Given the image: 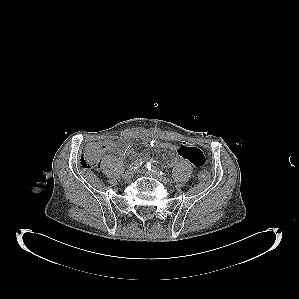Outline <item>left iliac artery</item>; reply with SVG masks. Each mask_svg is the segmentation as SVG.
<instances>
[{"label":"left iliac artery","instance_id":"44dca946","mask_svg":"<svg viewBox=\"0 0 299 299\" xmlns=\"http://www.w3.org/2000/svg\"><path fill=\"white\" fill-rule=\"evenodd\" d=\"M146 168L153 172L156 173L158 175H164V173L162 171H160L159 169H157L156 167L152 166L151 163H147Z\"/></svg>","mask_w":299,"mask_h":299}]
</instances>
